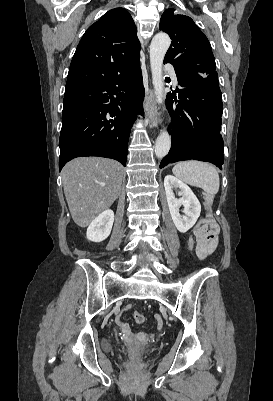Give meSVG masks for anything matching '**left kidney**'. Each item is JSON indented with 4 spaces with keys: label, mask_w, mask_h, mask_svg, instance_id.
Masks as SVG:
<instances>
[{
    "label": "left kidney",
    "mask_w": 273,
    "mask_h": 401,
    "mask_svg": "<svg viewBox=\"0 0 273 401\" xmlns=\"http://www.w3.org/2000/svg\"><path fill=\"white\" fill-rule=\"evenodd\" d=\"M164 186L172 221L180 233H187V231L195 225L198 217H200L201 205L198 198L187 184H184L182 180L175 178L172 174H167V176H165ZM175 186L180 188L182 192L181 198H175V194L172 190ZM181 205L185 207L183 211L185 215H180L179 213Z\"/></svg>",
    "instance_id": "1"
}]
</instances>
